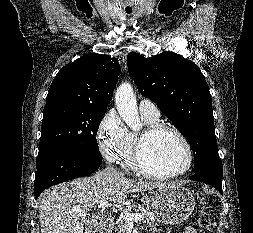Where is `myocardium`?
<instances>
[{"label": "myocardium", "instance_id": "obj_1", "mask_svg": "<svg viewBox=\"0 0 253 233\" xmlns=\"http://www.w3.org/2000/svg\"><path fill=\"white\" fill-rule=\"evenodd\" d=\"M161 132H170L174 134L184 145L187 153V163L182 170L176 172H155L148 169L147 166L145 165L143 160V151L146 146V143L149 139L153 138L154 136H156ZM133 161L137 171L147 177L157 179L176 178L183 176L190 171L194 162V152L190 142L178 128L166 123L158 122L147 126L146 129L141 134L138 135L133 154Z\"/></svg>", "mask_w": 253, "mask_h": 233}]
</instances>
